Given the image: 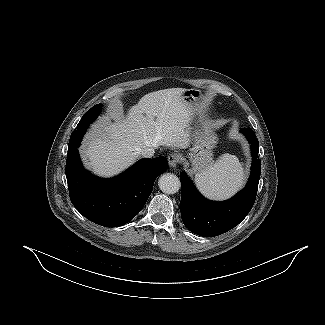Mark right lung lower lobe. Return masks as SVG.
<instances>
[{"mask_svg":"<svg viewBox=\"0 0 325 325\" xmlns=\"http://www.w3.org/2000/svg\"><path fill=\"white\" fill-rule=\"evenodd\" d=\"M86 129L73 131L69 140L66 178L70 200L84 217L96 224L124 225L144 207L155 179L167 170V160L163 156L142 159L117 177L97 178L83 168L78 153Z\"/></svg>","mask_w":325,"mask_h":325,"instance_id":"obj_1","label":"right lung lower lobe"}]
</instances>
